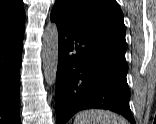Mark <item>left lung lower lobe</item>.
Instances as JSON below:
<instances>
[{
	"label": "left lung lower lobe",
	"instance_id": "1",
	"mask_svg": "<svg viewBox=\"0 0 156 124\" xmlns=\"http://www.w3.org/2000/svg\"><path fill=\"white\" fill-rule=\"evenodd\" d=\"M51 20L57 24L59 35L57 124H66L76 112L90 108L118 112L135 124L126 80L127 47L72 24L54 9Z\"/></svg>",
	"mask_w": 156,
	"mask_h": 124
}]
</instances>
